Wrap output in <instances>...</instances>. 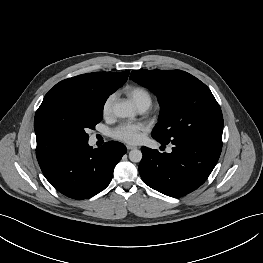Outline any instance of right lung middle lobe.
Instances as JSON below:
<instances>
[{
  "instance_id": "right-lung-middle-lobe-1",
  "label": "right lung middle lobe",
  "mask_w": 263,
  "mask_h": 263,
  "mask_svg": "<svg viewBox=\"0 0 263 263\" xmlns=\"http://www.w3.org/2000/svg\"><path fill=\"white\" fill-rule=\"evenodd\" d=\"M111 92L96 91L72 102L40 106L35 114L36 156L41 161L63 148L88 141V129L102 120L103 106Z\"/></svg>"
}]
</instances>
